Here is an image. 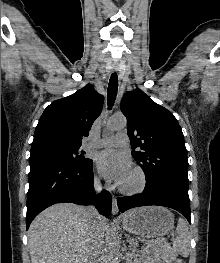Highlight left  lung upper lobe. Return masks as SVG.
<instances>
[{
  "label": "left lung upper lobe",
  "instance_id": "obj_1",
  "mask_svg": "<svg viewBox=\"0 0 220 263\" xmlns=\"http://www.w3.org/2000/svg\"><path fill=\"white\" fill-rule=\"evenodd\" d=\"M121 111L127 118L132 156L143 169L146 183L171 179L188 186L187 150L174 115L139 89L123 96Z\"/></svg>",
  "mask_w": 220,
  "mask_h": 263
}]
</instances>
